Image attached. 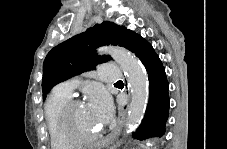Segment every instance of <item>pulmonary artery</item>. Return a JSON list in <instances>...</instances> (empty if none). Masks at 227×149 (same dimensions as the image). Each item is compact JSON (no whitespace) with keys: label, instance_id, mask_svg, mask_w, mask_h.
I'll return each mask as SVG.
<instances>
[{"label":"pulmonary artery","instance_id":"e3ab8cb5","mask_svg":"<svg viewBox=\"0 0 227 149\" xmlns=\"http://www.w3.org/2000/svg\"><path fill=\"white\" fill-rule=\"evenodd\" d=\"M99 75L104 82H115L123 78L122 70L111 64H102L99 69ZM77 79H71L59 84L56 90L70 95L77 86Z\"/></svg>","mask_w":227,"mask_h":149}]
</instances>
